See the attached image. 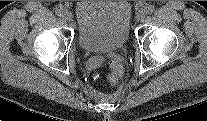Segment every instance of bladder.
Wrapping results in <instances>:
<instances>
[{
    "mask_svg": "<svg viewBox=\"0 0 207 121\" xmlns=\"http://www.w3.org/2000/svg\"><path fill=\"white\" fill-rule=\"evenodd\" d=\"M75 17L82 49L115 52L128 40L132 7L127 1H79L75 6Z\"/></svg>",
    "mask_w": 207,
    "mask_h": 121,
    "instance_id": "1",
    "label": "bladder"
}]
</instances>
